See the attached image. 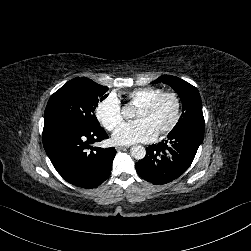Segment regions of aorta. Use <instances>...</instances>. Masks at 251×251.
I'll list each match as a JSON object with an SVG mask.
<instances>
[{"label":"aorta","instance_id":"1","mask_svg":"<svg viewBox=\"0 0 251 251\" xmlns=\"http://www.w3.org/2000/svg\"><path fill=\"white\" fill-rule=\"evenodd\" d=\"M127 113H130V112H128V109H127V108H124V109H123V114H124V115H127V116H130V114L128 115ZM130 152H131V155H132L135 159H137V160L143 159V158L145 157V155H146V150H145V148H144L143 146H141V145L132 146Z\"/></svg>","mask_w":251,"mask_h":251}]
</instances>
